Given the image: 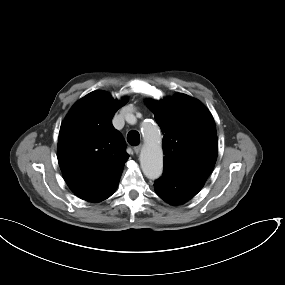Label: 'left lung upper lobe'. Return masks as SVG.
<instances>
[{
    "label": "left lung upper lobe",
    "instance_id": "5c2ea615",
    "mask_svg": "<svg viewBox=\"0 0 285 285\" xmlns=\"http://www.w3.org/2000/svg\"><path fill=\"white\" fill-rule=\"evenodd\" d=\"M163 137L164 169L205 183L214 168L218 141L208 109L186 94L148 100Z\"/></svg>",
    "mask_w": 285,
    "mask_h": 285
}]
</instances>
